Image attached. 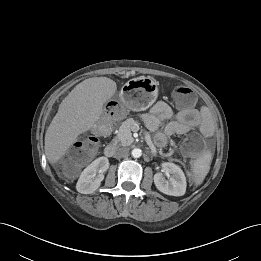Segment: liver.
<instances>
[{
  "instance_id": "6515ba94",
  "label": "liver",
  "mask_w": 261,
  "mask_h": 261,
  "mask_svg": "<svg viewBox=\"0 0 261 261\" xmlns=\"http://www.w3.org/2000/svg\"><path fill=\"white\" fill-rule=\"evenodd\" d=\"M117 90L107 77H93L77 84L63 99L45 134V154L54 164L77 137L90 130L103 113V105Z\"/></svg>"
}]
</instances>
